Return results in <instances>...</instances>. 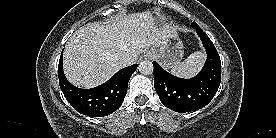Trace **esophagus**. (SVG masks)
I'll use <instances>...</instances> for the list:
<instances>
[{
  "instance_id": "34e87169",
  "label": "esophagus",
  "mask_w": 276,
  "mask_h": 138,
  "mask_svg": "<svg viewBox=\"0 0 276 138\" xmlns=\"http://www.w3.org/2000/svg\"><path fill=\"white\" fill-rule=\"evenodd\" d=\"M145 57H147V58H152V57H153L152 52H151V51H147V52L145 53Z\"/></svg>"
}]
</instances>
